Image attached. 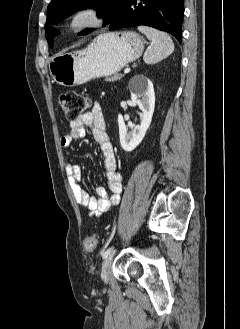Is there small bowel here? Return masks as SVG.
<instances>
[{
  "instance_id": "obj_1",
  "label": "small bowel",
  "mask_w": 240,
  "mask_h": 329,
  "mask_svg": "<svg viewBox=\"0 0 240 329\" xmlns=\"http://www.w3.org/2000/svg\"><path fill=\"white\" fill-rule=\"evenodd\" d=\"M90 128L104 159L107 188L99 186L96 195L89 194L81 185L82 169L76 163L66 165L68 182L78 204L85 206L89 216H101L116 206L122 191V176L117 168L116 157L109 140L102 107L94 102L91 109L70 122V131L61 137L62 148L68 149L73 141L82 139Z\"/></svg>"
}]
</instances>
